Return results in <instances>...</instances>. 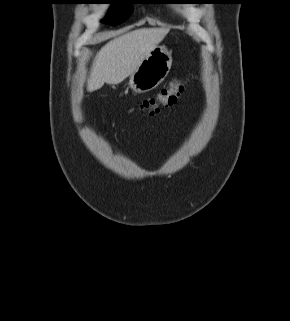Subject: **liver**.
Listing matches in <instances>:
<instances>
[{"instance_id":"6515ba94","label":"liver","mask_w":290,"mask_h":321,"mask_svg":"<svg viewBox=\"0 0 290 321\" xmlns=\"http://www.w3.org/2000/svg\"><path fill=\"white\" fill-rule=\"evenodd\" d=\"M169 29L141 28L118 35L98 53L88 80L89 92L104 83L117 85L140 66L149 53L165 38Z\"/></svg>"}]
</instances>
